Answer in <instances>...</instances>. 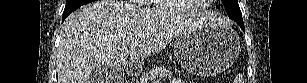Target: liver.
Segmentation results:
<instances>
[{
    "label": "liver",
    "mask_w": 307,
    "mask_h": 83,
    "mask_svg": "<svg viewBox=\"0 0 307 83\" xmlns=\"http://www.w3.org/2000/svg\"><path fill=\"white\" fill-rule=\"evenodd\" d=\"M219 19L209 12L172 14L121 0H99L71 13L58 48V83H92L95 68L121 69L159 53L174 38ZM122 81V80H121Z\"/></svg>",
    "instance_id": "6515ba94"
}]
</instances>
